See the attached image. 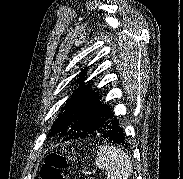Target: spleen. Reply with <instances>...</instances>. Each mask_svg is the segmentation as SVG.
Masks as SVG:
<instances>
[{"instance_id":"1","label":"spleen","mask_w":183,"mask_h":179,"mask_svg":"<svg viewBox=\"0 0 183 179\" xmlns=\"http://www.w3.org/2000/svg\"><path fill=\"white\" fill-rule=\"evenodd\" d=\"M95 164L107 173V179H128L132 173L129 156L114 146H100Z\"/></svg>"}]
</instances>
